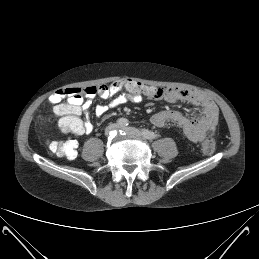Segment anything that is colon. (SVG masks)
I'll return each instance as SVG.
<instances>
[{
	"mask_svg": "<svg viewBox=\"0 0 259 259\" xmlns=\"http://www.w3.org/2000/svg\"><path fill=\"white\" fill-rule=\"evenodd\" d=\"M127 86L131 91L143 92L144 85L134 80H127ZM76 91H80L77 89ZM78 128V123L75 119H66L61 124V129L67 133H73ZM50 150L60 157L74 159L77 155L78 143L72 138H67L62 141H51L49 144ZM202 151L206 155H212L215 151V141L212 137L206 138L202 143Z\"/></svg>",
	"mask_w": 259,
	"mask_h": 259,
	"instance_id": "1",
	"label": "colon"
}]
</instances>
